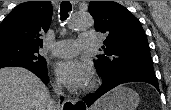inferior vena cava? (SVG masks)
<instances>
[{"instance_id":"1","label":"inferior vena cava","mask_w":171,"mask_h":110,"mask_svg":"<svg viewBox=\"0 0 171 110\" xmlns=\"http://www.w3.org/2000/svg\"><path fill=\"white\" fill-rule=\"evenodd\" d=\"M54 91L56 92V94H57L58 96L63 95L62 87H61V85H60V84H55V85H54ZM54 107H55V109H56V110H59L60 105L55 104V106H54Z\"/></svg>"}]
</instances>
